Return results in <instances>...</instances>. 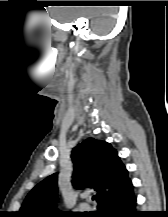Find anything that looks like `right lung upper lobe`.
Wrapping results in <instances>:
<instances>
[{
    "label": "right lung upper lobe",
    "mask_w": 168,
    "mask_h": 217,
    "mask_svg": "<svg viewBox=\"0 0 168 217\" xmlns=\"http://www.w3.org/2000/svg\"><path fill=\"white\" fill-rule=\"evenodd\" d=\"M71 157L74 164L73 187L93 188L97 192L98 208L133 186L117 151L107 142L88 138L73 148ZM57 175H50L30 191L18 217L72 215L55 208Z\"/></svg>",
    "instance_id": "right-lung-upper-lobe-1"
}]
</instances>
